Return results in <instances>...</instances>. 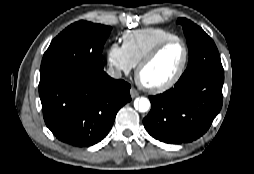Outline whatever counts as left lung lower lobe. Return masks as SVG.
Returning <instances> with one entry per match:
<instances>
[{"instance_id": "0a47b994", "label": "left lung lower lobe", "mask_w": 254, "mask_h": 174, "mask_svg": "<svg viewBox=\"0 0 254 174\" xmlns=\"http://www.w3.org/2000/svg\"><path fill=\"white\" fill-rule=\"evenodd\" d=\"M224 73L206 72L156 96L143 119L148 133L171 144L192 142L210 127L222 107Z\"/></svg>"}]
</instances>
